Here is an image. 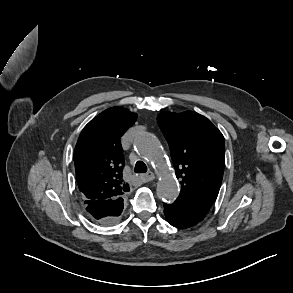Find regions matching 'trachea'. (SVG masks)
<instances>
[{"mask_svg":"<svg viewBox=\"0 0 293 293\" xmlns=\"http://www.w3.org/2000/svg\"><path fill=\"white\" fill-rule=\"evenodd\" d=\"M135 173H145L147 171V166L142 161H137L134 168Z\"/></svg>","mask_w":293,"mask_h":293,"instance_id":"3493384b","label":"trachea"}]
</instances>
